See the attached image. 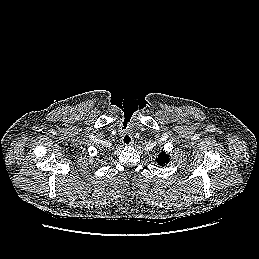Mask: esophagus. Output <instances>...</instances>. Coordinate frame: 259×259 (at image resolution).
I'll list each match as a JSON object with an SVG mask.
<instances>
[{"mask_svg": "<svg viewBox=\"0 0 259 259\" xmlns=\"http://www.w3.org/2000/svg\"><path fill=\"white\" fill-rule=\"evenodd\" d=\"M121 140H122L123 145H125V146H130L133 144V139L130 134H127V133L124 134Z\"/></svg>", "mask_w": 259, "mask_h": 259, "instance_id": "34e87169", "label": "esophagus"}]
</instances>
